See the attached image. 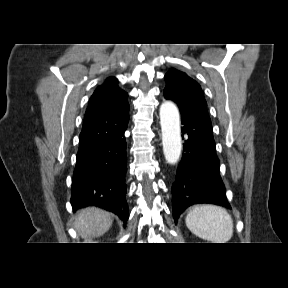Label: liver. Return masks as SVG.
I'll list each match as a JSON object with an SVG mask.
<instances>
[{
  "label": "liver",
  "mask_w": 288,
  "mask_h": 288,
  "mask_svg": "<svg viewBox=\"0 0 288 288\" xmlns=\"http://www.w3.org/2000/svg\"><path fill=\"white\" fill-rule=\"evenodd\" d=\"M112 222L111 213L97 207H87L78 211L74 228L86 240L105 234Z\"/></svg>",
  "instance_id": "liver-1"
}]
</instances>
